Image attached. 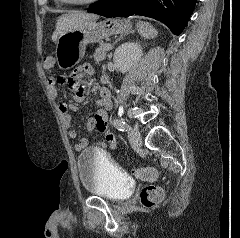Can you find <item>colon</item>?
Returning a JSON list of instances; mask_svg holds the SVG:
<instances>
[{
    "instance_id": "colon-1",
    "label": "colon",
    "mask_w": 240,
    "mask_h": 238,
    "mask_svg": "<svg viewBox=\"0 0 240 238\" xmlns=\"http://www.w3.org/2000/svg\"><path fill=\"white\" fill-rule=\"evenodd\" d=\"M54 64L55 60L51 55H46L41 60V65L46 71H50L54 67ZM133 173L136 177L145 181H153L157 176L156 170L151 167L137 168ZM163 197L164 190L160 186L149 185L141 191V202L145 207L157 205Z\"/></svg>"
}]
</instances>
